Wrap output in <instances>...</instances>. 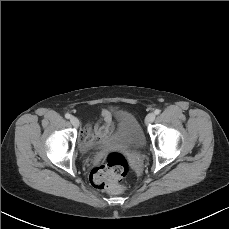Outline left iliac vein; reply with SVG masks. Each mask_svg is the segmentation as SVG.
I'll use <instances>...</instances> for the list:
<instances>
[{
	"label": "left iliac vein",
	"mask_w": 229,
	"mask_h": 229,
	"mask_svg": "<svg viewBox=\"0 0 229 229\" xmlns=\"http://www.w3.org/2000/svg\"><path fill=\"white\" fill-rule=\"evenodd\" d=\"M154 120H155V114L154 113H149L145 119L147 124L152 123Z\"/></svg>",
	"instance_id": "left-iliac-vein-1"
}]
</instances>
